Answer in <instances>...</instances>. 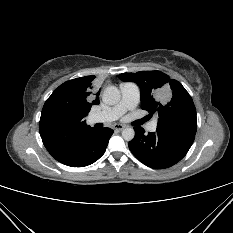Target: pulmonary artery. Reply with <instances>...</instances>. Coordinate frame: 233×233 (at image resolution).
Wrapping results in <instances>:
<instances>
[{
    "mask_svg": "<svg viewBox=\"0 0 233 233\" xmlns=\"http://www.w3.org/2000/svg\"><path fill=\"white\" fill-rule=\"evenodd\" d=\"M121 99L113 107L102 111L100 113L93 114L90 118L92 123H108L119 119L127 111L133 110L140 100V89L134 83H122L120 85ZM157 128V122L153 121L148 125L149 131H155Z\"/></svg>",
    "mask_w": 233,
    "mask_h": 233,
    "instance_id": "obj_1",
    "label": "pulmonary artery"
}]
</instances>
